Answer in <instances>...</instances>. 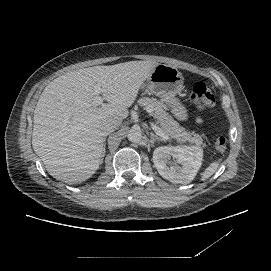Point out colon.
Segmentation results:
<instances>
[{
    "instance_id": "obj_1",
    "label": "colon",
    "mask_w": 271,
    "mask_h": 271,
    "mask_svg": "<svg viewBox=\"0 0 271 271\" xmlns=\"http://www.w3.org/2000/svg\"><path fill=\"white\" fill-rule=\"evenodd\" d=\"M191 101L199 110L212 108L215 104V97L211 89L203 82H198L193 86ZM227 146V140L219 137L215 141V147L218 151H224Z\"/></svg>"
}]
</instances>
